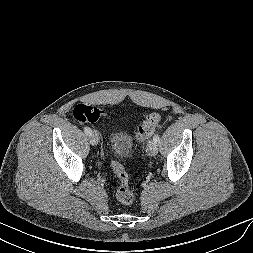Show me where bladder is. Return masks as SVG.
<instances>
[{
    "label": "bladder",
    "instance_id": "obj_1",
    "mask_svg": "<svg viewBox=\"0 0 253 253\" xmlns=\"http://www.w3.org/2000/svg\"><path fill=\"white\" fill-rule=\"evenodd\" d=\"M108 143L112 153L119 159H126L133 152V142L126 132L114 131Z\"/></svg>",
    "mask_w": 253,
    "mask_h": 253
}]
</instances>
